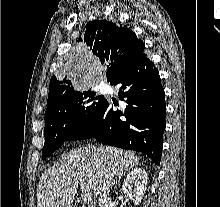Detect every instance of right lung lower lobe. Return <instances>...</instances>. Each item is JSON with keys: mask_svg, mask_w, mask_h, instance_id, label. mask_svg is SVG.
I'll use <instances>...</instances> for the list:
<instances>
[{"mask_svg": "<svg viewBox=\"0 0 220 207\" xmlns=\"http://www.w3.org/2000/svg\"><path fill=\"white\" fill-rule=\"evenodd\" d=\"M110 84H121L118 95L126 105L113 111L111 103L105 100L69 140L95 138L107 145L142 152L159 164L166 104L154 63L142 52L127 63Z\"/></svg>", "mask_w": 220, "mask_h": 207, "instance_id": "obj_1", "label": "right lung lower lobe"}]
</instances>
